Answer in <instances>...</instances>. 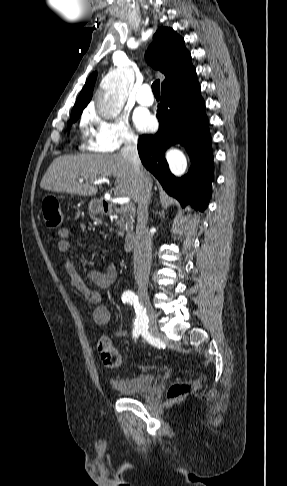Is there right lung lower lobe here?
Masks as SVG:
<instances>
[{
    "mask_svg": "<svg viewBox=\"0 0 287 486\" xmlns=\"http://www.w3.org/2000/svg\"><path fill=\"white\" fill-rule=\"evenodd\" d=\"M157 118L158 132L142 135L138 141L143 165L183 206L191 204L195 210L204 211L211 196L214 166L208 119L196 76L162 90ZM176 143L185 147L191 160L189 172L182 178L171 174L164 158L165 151Z\"/></svg>",
    "mask_w": 287,
    "mask_h": 486,
    "instance_id": "1",
    "label": "right lung lower lobe"
}]
</instances>
